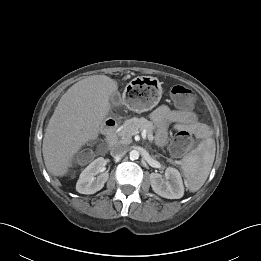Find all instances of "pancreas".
Masks as SVG:
<instances>
[{"label": "pancreas", "instance_id": "pancreas-1", "mask_svg": "<svg viewBox=\"0 0 261 261\" xmlns=\"http://www.w3.org/2000/svg\"><path fill=\"white\" fill-rule=\"evenodd\" d=\"M154 129L155 126L153 125V122L144 117L128 119L123 123L117 133L118 142L121 144H130L132 142V136L135 135L136 132H141L143 130L146 131L147 135L153 136Z\"/></svg>", "mask_w": 261, "mask_h": 261}]
</instances>
